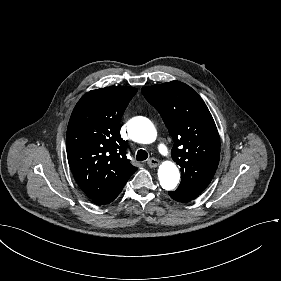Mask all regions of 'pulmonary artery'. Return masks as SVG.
Wrapping results in <instances>:
<instances>
[{
    "label": "pulmonary artery",
    "mask_w": 281,
    "mask_h": 281,
    "mask_svg": "<svg viewBox=\"0 0 281 281\" xmlns=\"http://www.w3.org/2000/svg\"><path fill=\"white\" fill-rule=\"evenodd\" d=\"M154 145L168 161H173L176 158V153L171 147L168 146L162 137H157L154 140Z\"/></svg>",
    "instance_id": "obj_1"
}]
</instances>
